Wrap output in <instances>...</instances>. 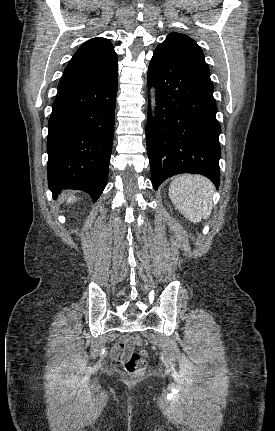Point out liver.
<instances>
[{
    "mask_svg": "<svg viewBox=\"0 0 275 431\" xmlns=\"http://www.w3.org/2000/svg\"><path fill=\"white\" fill-rule=\"evenodd\" d=\"M76 200H77V198H76L75 196L71 195V196H69V197L67 198V203H72V202H74V201H76Z\"/></svg>",
    "mask_w": 275,
    "mask_h": 431,
    "instance_id": "liver-1",
    "label": "liver"
}]
</instances>
